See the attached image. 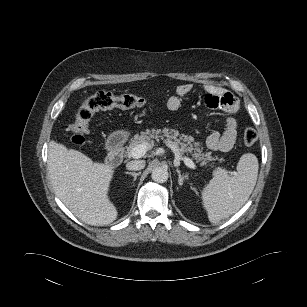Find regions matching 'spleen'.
<instances>
[{
	"label": "spleen",
	"mask_w": 307,
	"mask_h": 307,
	"mask_svg": "<svg viewBox=\"0 0 307 307\" xmlns=\"http://www.w3.org/2000/svg\"><path fill=\"white\" fill-rule=\"evenodd\" d=\"M258 169L257 157L246 153L240 157L234 176L222 169L214 172L202 190L203 206L211 223L230 217L245 204L256 185Z\"/></svg>",
	"instance_id": "spleen-1"
}]
</instances>
